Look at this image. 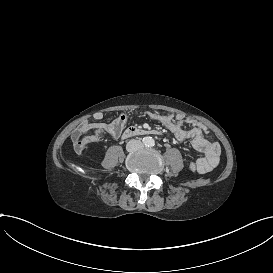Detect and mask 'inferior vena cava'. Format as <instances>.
Segmentation results:
<instances>
[{"label": "inferior vena cava", "mask_w": 273, "mask_h": 273, "mask_svg": "<svg viewBox=\"0 0 273 273\" xmlns=\"http://www.w3.org/2000/svg\"><path fill=\"white\" fill-rule=\"evenodd\" d=\"M142 147H143L142 142L139 140H135V139L130 140L126 146L128 151H135V150L140 149Z\"/></svg>", "instance_id": "inferior-vena-cava-1"}]
</instances>
